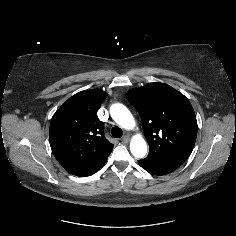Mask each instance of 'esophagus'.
Wrapping results in <instances>:
<instances>
[{
	"label": "esophagus",
	"instance_id": "obj_1",
	"mask_svg": "<svg viewBox=\"0 0 236 236\" xmlns=\"http://www.w3.org/2000/svg\"><path fill=\"white\" fill-rule=\"evenodd\" d=\"M129 139H130V137H129L128 134H126V135H124V136L122 137V141H123V142H128Z\"/></svg>",
	"mask_w": 236,
	"mask_h": 236
}]
</instances>
